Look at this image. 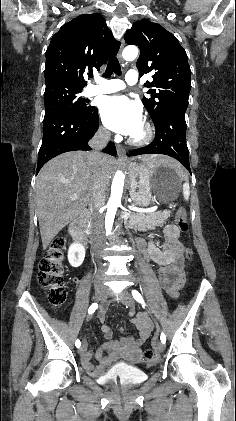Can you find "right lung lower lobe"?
Listing matches in <instances>:
<instances>
[{"instance_id": "1", "label": "right lung lower lobe", "mask_w": 236, "mask_h": 421, "mask_svg": "<svg viewBox=\"0 0 236 421\" xmlns=\"http://www.w3.org/2000/svg\"><path fill=\"white\" fill-rule=\"evenodd\" d=\"M44 132L39 150L37 173L53 157L68 151L91 150L88 141L98 130V109L92 107L85 114L76 115L58 112L44 117ZM103 152L116 155L113 142H109Z\"/></svg>"}]
</instances>
